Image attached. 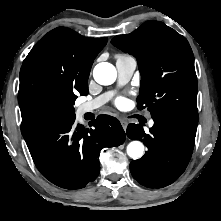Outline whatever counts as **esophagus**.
Here are the masks:
<instances>
[{
	"label": "esophagus",
	"instance_id": "esophagus-1",
	"mask_svg": "<svg viewBox=\"0 0 221 221\" xmlns=\"http://www.w3.org/2000/svg\"><path fill=\"white\" fill-rule=\"evenodd\" d=\"M120 121H121V125H122L123 129L126 130L128 122L124 119H121Z\"/></svg>",
	"mask_w": 221,
	"mask_h": 221
}]
</instances>
